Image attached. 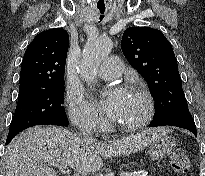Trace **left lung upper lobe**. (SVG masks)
Instances as JSON below:
<instances>
[{"instance_id":"obj_1","label":"left lung upper lobe","mask_w":205,"mask_h":176,"mask_svg":"<svg viewBox=\"0 0 205 176\" xmlns=\"http://www.w3.org/2000/svg\"><path fill=\"white\" fill-rule=\"evenodd\" d=\"M122 51L147 81L155 103L154 120L187 104L177 60L163 33L149 27H130L122 37Z\"/></svg>"}]
</instances>
